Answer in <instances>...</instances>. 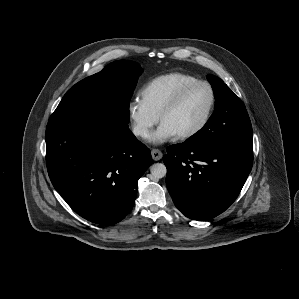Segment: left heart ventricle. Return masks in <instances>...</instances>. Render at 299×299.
Instances as JSON below:
<instances>
[{
    "label": "left heart ventricle",
    "instance_id": "1",
    "mask_svg": "<svg viewBox=\"0 0 299 299\" xmlns=\"http://www.w3.org/2000/svg\"><path fill=\"white\" fill-rule=\"evenodd\" d=\"M210 101L205 86L192 88L180 104L168 113L161 123L168 125L177 135L196 127L203 119Z\"/></svg>",
    "mask_w": 299,
    "mask_h": 299
}]
</instances>
